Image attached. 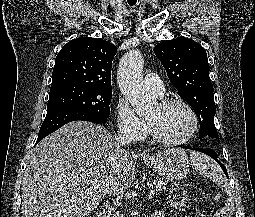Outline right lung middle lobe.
<instances>
[{"instance_id": "right-lung-middle-lobe-1", "label": "right lung middle lobe", "mask_w": 255, "mask_h": 217, "mask_svg": "<svg viewBox=\"0 0 255 217\" xmlns=\"http://www.w3.org/2000/svg\"><path fill=\"white\" fill-rule=\"evenodd\" d=\"M111 99L112 88L64 84L50 88L47 109L68 107L107 118L110 114Z\"/></svg>"}]
</instances>
